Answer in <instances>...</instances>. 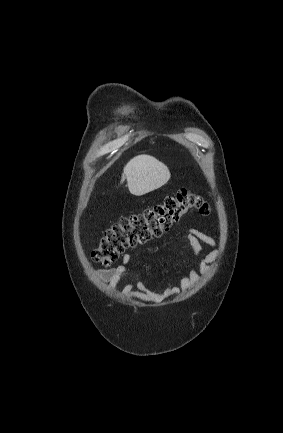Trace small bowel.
<instances>
[{
  "label": "small bowel",
  "instance_id": "1",
  "mask_svg": "<svg viewBox=\"0 0 283 433\" xmlns=\"http://www.w3.org/2000/svg\"><path fill=\"white\" fill-rule=\"evenodd\" d=\"M182 237L189 244L193 258L201 255L204 244L211 248L199 261L197 267H191L181 275L178 282H169L160 292L148 289L142 281L136 279L123 288V295L126 297H138L152 303H162L196 285L200 280V274L208 272L210 263L217 257V243L212 237L195 228L185 229L182 232ZM130 261L131 255L125 254L121 264L112 269L99 270L96 272V276L101 281L108 283L111 289H115L118 283L130 274L128 267Z\"/></svg>",
  "mask_w": 283,
  "mask_h": 433
}]
</instances>
